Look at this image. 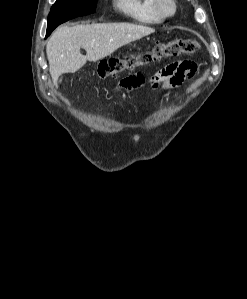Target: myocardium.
Wrapping results in <instances>:
<instances>
[{
    "instance_id": "obj_1",
    "label": "myocardium",
    "mask_w": 247,
    "mask_h": 299,
    "mask_svg": "<svg viewBox=\"0 0 247 299\" xmlns=\"http://www.w3.org/2000/svg\"><path fill=\"white\" fill-rule=\"evenodd\" d=\"M155 7L162 18L173 17L177 12L176 0H155Z\"/></svg>"
}]
</instances>
